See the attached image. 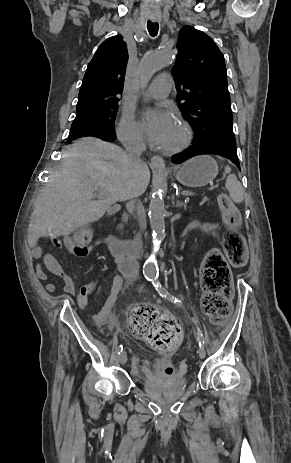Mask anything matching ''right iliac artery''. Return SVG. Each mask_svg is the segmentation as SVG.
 Instances as JSON below:
<instances>
[{"label": "right iliac artery", "instance_id": "82829eb1", "mask_svg": "<svg viewBox=\"0 0 291 463\" xmlns=\"http://www.w3.org/2000/svg\"><path fill=\"white\" fill-rule=\"evenodd\" d=\"M146 279H147L148 281H151V278H149V277H146ZM122 350H123V346H122V345H120V346L117 347V352H118V354H120V352H122Z\"/></svg>", "mask_w": 291, "mask_h": 463}]
</instances>
